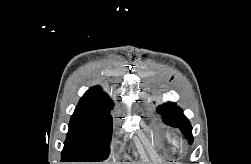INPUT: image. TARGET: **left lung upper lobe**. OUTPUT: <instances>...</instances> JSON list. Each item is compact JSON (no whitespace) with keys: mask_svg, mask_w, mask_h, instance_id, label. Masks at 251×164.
<instances>
[{"mask_svg":"<svg viewBox=\"0 0 251 164\" xmlns=\"http://www.w3.org/2000/svg\"><path fill=\"white\" fill-rule=\"evenodd\" d=\"M157 112L163 115L169 122L176 124L181 131L193 141L192 127L183 114V111L175 103H165L158 106Z\"/></svg>","mask_w":251,"mask_h":164,"instance_id":"obj_1","label":"left lung upper lobe"}]
</instances>
